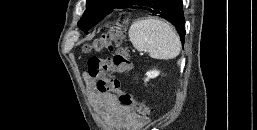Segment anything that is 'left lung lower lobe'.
Masks as SVG:
<instances>
[{
    "label": "left lung lower lobe",
    "mask_w": 257,
    "mask_h": 130,
    "mask_svg": "<svg viewBox=\"0 0 257 130\" xmlns=\"http://www.w3.org/2000/svg\"><path fill=\"white\" fill-rule=\"evenodd\" d=\"M126 5L144 7L145 10L171 22L177 28L181 42L184 44L185 20L182 0H129ZM125 6L122 8H125Z\"/></svg>",
    "instance_id": "left-lung-lower-lobe-1"
}]
</instances>
